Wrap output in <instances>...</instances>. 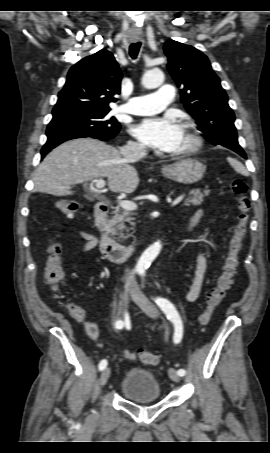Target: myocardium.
<instances>
[{
  "instance_id": "obj_1",
  "label": "myocardium",
  "mask_w": 270,
  "mask_h": 453,
  "mask_svg": "<svg viewBox=\"0 0 270 453\" xmlns=\"http://www.w3.org/2000/svg\"><path fill=\"white\" fill-rule=\"evenodd\" d=\"M181 127L186 129V131L188 132V135L190 138V144L188 145V147H186L180 151L170 153L171 157L190 156V155L196 153L197 151H199V149L201 148L202 139H201L194 123L189 120H184L181 122Z\"/></svg>"
}]
</instances>
